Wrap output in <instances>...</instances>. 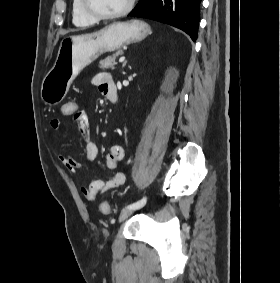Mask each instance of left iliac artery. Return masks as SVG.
Listing matches in <instances>:
<instances>
[{"label":"left iliac artery","mask_w":280,"mask_h":283,"mask_svg":"<svg viewBox=\"0 0 280 283\" xmlns=\"http://www.w3.org/2000/svg\"><path fill=\"white\" fill-rule=\"evenodd\" d=\"M146 201H147V198L143 197L141 200L129 205L128 207L133 208V209H139L146 204Z\"/></svg>","instance_id":"1"}]
</instances>
